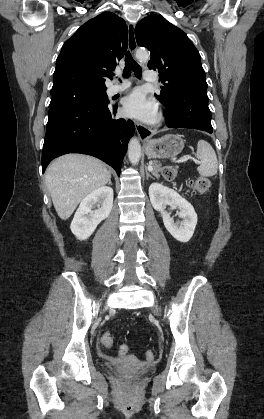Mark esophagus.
Here are the masks:
<instances>
[{"label": "esophagus", "instance_id": "1", "mask_svg": "<svg viewBox=\"0 0 264 419\" xmlns=\"http://www.w3.org/2000/svg\"><path fill=\"white\" fill-rule=\"evenodd\" d=\"M137 48V42L135 38V24L130 23L128 25V49L129 52L133 55ZM135 127L139 139L141 141H146L150 137L148 129L140 122L135 121Z\"/></svg>", "mask_w": 264, "mask_h": 419}]
</instances>
